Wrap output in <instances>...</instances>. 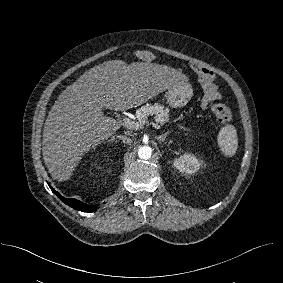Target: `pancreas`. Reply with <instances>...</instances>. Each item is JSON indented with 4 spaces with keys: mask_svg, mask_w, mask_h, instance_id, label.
Listing matches in <instances>:
<instances>
[{
    "mask_svg": "<svg viewBox=\"0 0 283 283\" xmlns=\"http://www.w3.org/2000/svg\"><path fill=\"white\" fill-rule=\"evenodd\" d=\"M156 122L164 125L166 122H169V109L165 108L160 104H145L136 111V117L140 125H143L147 122L148 116H153Z\"/></svg>",
    "mask_w": 283,
    "mask_h": 283,
    "instance_id": "obj_1",
    "label": "pancreas"
}]
</instances>
